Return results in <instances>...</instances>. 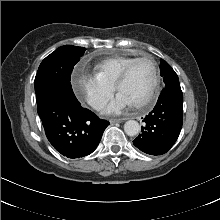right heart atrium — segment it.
Wrapping results in <instances>:
<instances>
[{
  "label": "right heart atrium",
  "instance_id": "1",
  "mask_svg": "<svg viewBox=\"0 0 220 220\" xmlns=\"http://www.w3.org/2000/svg\"><path fill=\"white\" fill-rule=\"evenodd\" d=\"M76 96L94 109L101 108L113 95L114 86L96 75L76 73L71 80Z\"/></svg>",
  "mask_w": 220,
  "mask_h": 220
}]
</instances>
